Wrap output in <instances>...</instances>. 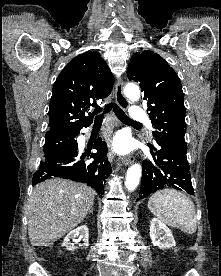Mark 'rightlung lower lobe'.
I'll list each match as a JSON object with an SVG mask.
<instances>
[{
  "instance_id": "1",
  "label": "right lung lower lobe",
  "mask_w": 221,
  "mask_h": 276,
  "mask_svg": "<svg viewBox=\"0 0 221 276\" xmlns=\"http://www.w3.org/2000/svg\"><path fill=\"white\" fill-rule=\"evenodd\" d=\"M93 148L97 150V153L81 155L76 143L71 150L44 157L40 162L39 170L33 176V185L54 176L86 183L94 188L99 195L102 194L105 179L111 172V165L106 158L108 149L106 143L101 139L95 142ZM88 156L94 159L92 163L85 162Z\"/></svg>"
}]
</instances>
